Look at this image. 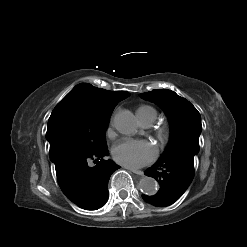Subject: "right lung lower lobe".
I'll list each match as a JSON object with an SVG mask.
<instances>
[{"label":"right lung lower lobe","mask_w":247,"mask_h":247,"mask_svg":"<svg viewBox=\"0 0 247 247\" xmlns=\"http://www.w3.org/2000/svg\"><path fill=\"white\" fill-rule=\"evenodd\" d=\"M107 155V148L90 152L62 142L50 144L49 156L55 164L59 186L80 208L97 210L108 200L110 175L120 166L105 160ZM92 160L96 164L93 167Z\"/></svg>","instance_id":"1"}]
</instances>
